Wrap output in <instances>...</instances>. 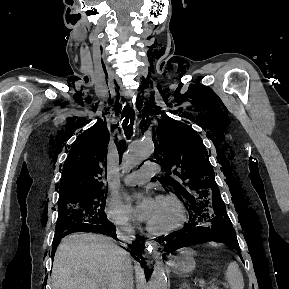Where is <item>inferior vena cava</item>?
Here are the masks:
<instances>
[{"label":"inferior vena cava","instance_id":"obj_1","mask_svg":"<svg viewBox=\"0 0 289 289\" xmlns=\"http://www.w3.org/2000/svg\"><path fill=\"white\" fill-rule=\"evenodd\" d=\"M117 234L119 238L128 242L135 238L134 229L130 224L118 228ZM117 289H134V280L130 261H128L122 268Z\"/></svg>","mask_w":289,"mask_h":289}]
</instances>
